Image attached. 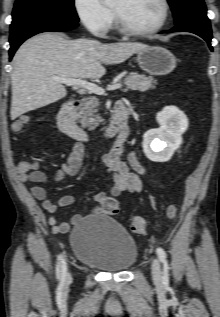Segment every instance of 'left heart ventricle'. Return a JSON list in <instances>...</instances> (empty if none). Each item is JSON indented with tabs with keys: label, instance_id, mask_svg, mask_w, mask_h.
I'll use <instances>...</instances> for the list:
<instances>
[{
	"label": "left heart ventricle",
	"instance_id": "b2bd125f",
	"mask_svg": "<svg viewBox=\"0 0 220 317\" xmlns=\"http://www.w3.org/2000/svg\"><path fill=\"white\" fill-rule=\"evenodd\" d=\"M112 8L129 27L136 30L155 26L163 13L159 0H115Z\"/></svg>",
	"mask_w": 220,
	"mask_h": 317
}]
</instances>
